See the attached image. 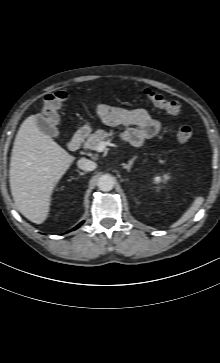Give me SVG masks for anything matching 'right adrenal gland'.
Here are the masks:
<instances>
[{"instance_id": "obj_1", "label": "right adrenal gland", "mask_w": 220, "mask_h": 363, "mask_svg": "<svg viewBox=\"0 0 220 363\" xmlns=\"http://www.w3.org/2000/svg\"><path fill=\"white\" fill-rule=\"evenodd\" d=\"M76 172H78L80 175H85V172H81L80 170H76Z\"/></svg>"}]
</instances>
